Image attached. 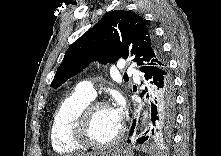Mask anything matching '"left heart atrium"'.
I'll return each mask as SVG.
<instances>
[{
    "mask_svg": "<svg viewBox=\"0 0 221 156\" xmlns=\"http://www.w3.org/2000/svg\"><path fill=\"white\" fill-rule=\"evenodd\" d=\"M113 118L120 123L122 120L123 112H124V106L121 101H118V103L110 108Z\"/></svg>",
    "mask_w": 221,
    "mask_h": 156,
    "instance_id": "left-heart-atrium-1",
    "label": "left heart atrium"
}]
</instances>
